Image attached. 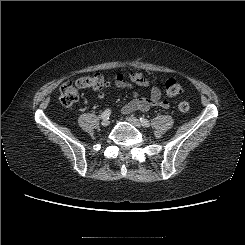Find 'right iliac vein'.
Masks as SVG:
<instances>
[{
  "label": "right iliac vein",
  "mask_w": 245,
  "mask_h": 245,
  "mask_svg": "<svg viewBox=\"0 0 245 245\" xmlns=\"http://www.w3.org/2000/svg\"><path fill=\"white\" fill-rule=\"evenodd\" d=\"M109 123H110V120L108 119V118H104L103 120H102V122H101V124L103 125V126H108L109 125Z\"/></svg>",
  "instance_id": "right-iliac-vein-1"
}]
</instances>
